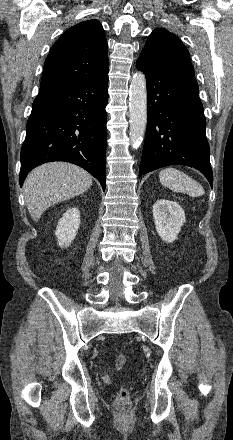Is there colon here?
I'll use <instances>...</instances> for the list:
<instances>
[{
    "instance_id": "obj_1",
    "label": "colon",
    "mask_w": 233,
    "mask_h": 440,
    "mask_svg": "<svg viewBox=\"0 0 233 440\" xmlns=\"http://www.w3.org/2000/svg\"><path fill=\"white\" fill-rule=\"evenodd\" d=\"M126 356L122 353L115 358V367L117 370H122L126 365ZM116 408L120 411H127L131 405L130 392L126 387H122L117 393L115 400Z\"/></svg>"
}]
</instances>
